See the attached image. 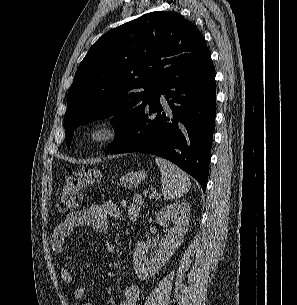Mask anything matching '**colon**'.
Returning a JSON list of instances; mask_svg holds the SVG:
<instances>
[{
  "label": "colon",
  "instance_id": "5ec220e1",
  "mask_svg": "<svg viewBox=\"0 0 297 305\" xmlns=\"http://www.w3.org/2000/svg\"><path fill=\"white\" fill-rule=\"evenodd\" d=\"M101 172L97 169L76 168L68 170L61 185L58 211L66 213L77 209L81 202L83 187L98 183Z\"/></svg>",
  "mask_w": 297,
  "mask_h": 305
}]
</instances>
